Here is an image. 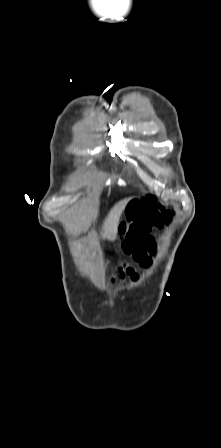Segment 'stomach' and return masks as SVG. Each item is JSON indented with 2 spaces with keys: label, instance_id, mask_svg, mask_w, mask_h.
I'll use <instances>...</instances> for the list:
<instances>
[{
  "label": "stomach",
  "instance_id": "stomach-1",
  "mask_svg": "<svg viewBox=\"0 0 221 448\" xmlns=\"http://www.w3.org/2000/svg\"><path fill=\"white\" fill-rule=\"evenodd\" d=\"M133 205V201L129 202L127 208H130Z\"/></svg>",
  "mask_w": 221,
  "mask_h": 448
}]
</instances>
